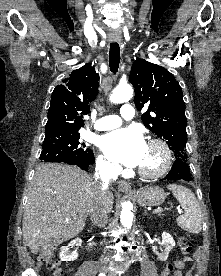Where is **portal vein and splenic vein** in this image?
I'll return each mask as SVG.
<instances>
[{"instance_id": "1", "label": "portal vein and splenic vein", "mask_w": 221, "mask_h": 276, "mask_svg": "<svg viewBox=\"0 0 221 276\" xmlns=\"http://www.w3.org/2000/svg\"><path fill=\"white\" fill-rule=\"evenodd\" d=\"M164 210H166V209H162V208H160V209H155L154 211H153V213H161V212H163ZM179 213H181L180 211H179Z\"/></svg>"}]
</instances>
